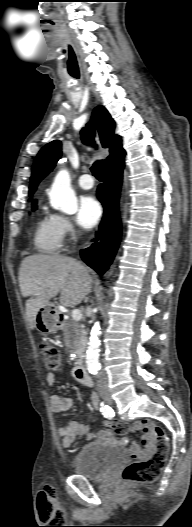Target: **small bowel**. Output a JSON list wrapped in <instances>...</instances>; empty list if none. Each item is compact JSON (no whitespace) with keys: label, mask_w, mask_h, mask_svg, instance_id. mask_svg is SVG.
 <instances>
[{"label":"small bowel","mask_w":192,"mask_h":527,"mask_svg":"<svg viewBox=\"0 0 192 527\" xmlns=\"http://www.w3.org/2000/svg\"><path fill=\"white\" fill-rule=\"evenodd\" d=\"M46 382L49 387L52 389L50 395V405L51 409L55 413H65L68 412L73 407V399L69 397H62L58 395L54 389L56 384V377L53 373H48L46 376ZM92 402L95 407H97L98 400L95 395L92 396ZM139 430L143 434V448H141L137 443H133L130 448V454L132 457L136 458H148L150 457L154 450V442L152 438V432L149 426L145 423H137L134 426L130 427L128 432ZM58 432L62 437V446L64 448L70 447L78 439L92 440L93 433L92 429L88 424L80 423L77 421H70L68 424L59 427ZM97 440L102 443L107 444H118L126 445V439L115 440L112 431L109 429H103L98 433Z\"/></svg>","instance_id":"c3829d8e"}]
</instances>
